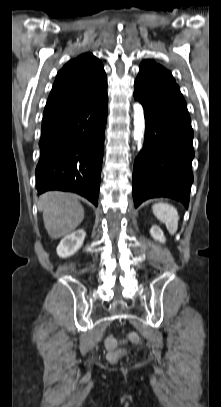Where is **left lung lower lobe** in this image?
Segmentation results:
<instances>
[{
    "mask_svg": "<svg viewBox=\"0 0 221 407\" xmlns=\"http://www.w3.org/2000/svg\"><path fill=\"white\" fill-rule=\"evenodd\" d=\"M134 97L144 108L146 124L143 149L133 170L135 207L149 198L168 197L188 208L193 130L179 86L136 80Z\"/></svg>",
    "mask_w": 221,
    "mask_h": 407,
    "instance_id": "0a47b994",
    "label": "left lung lower lobe"
}]
</instances>
